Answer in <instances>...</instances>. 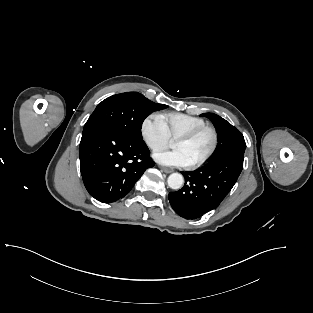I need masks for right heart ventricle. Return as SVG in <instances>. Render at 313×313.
Instances as JSON below:
<instances>
[{
    "instance_id": "e07e8e85",
    "label": "right heart ventricle",
    "mask_w": 313,
    "mask_h": 313,
    "mask_svg": "<svg viewBox=\"0 0 313 313\" xmlns=\"http://www.w3.org/2000/svg\"><path fill=\"white\" fill-rule=\"evenodd\" d=\"M160 116L171 139L206 124V121L201 117L183 113L169 112Z\"/></svg>"
}]
</instances>
